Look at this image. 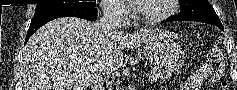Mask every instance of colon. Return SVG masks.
Masks as SVG:
<instances>
[{
	"instance_id": "colon-1",
	"label": "colon",
	"mask_w": 237,
	"mask_h": 90,
	"mask_svg": "<svg viewBox=\"0 0 237 90\" xmlns=\"http://www.w3.org/2000/svg\"><path fill=\"white\" fill-rule=\"evenodd\" d=\"M216 72L215 79L219 81V90H230L228 81L225 79L224 56L220 49H216L212 55Z\"/></svg>"
}]
</instances>
